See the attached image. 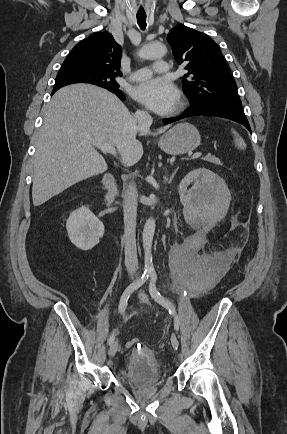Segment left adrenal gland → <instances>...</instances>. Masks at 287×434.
<instances>
[{
  "label": "left adrenal gland",
  "instance_id": "a2214340",
  "mask_svg": "<svg viewBox=\"0 0 287 434\" xmlns=\"http://www.w3.org/2000/svg\"><path fill=\"white\" fill-rule=\"evenodd\" d=\"M177 170H178V168H177V169H175V171H174V172L172 173V175L170 176V178H169V179L165 177V180H167V181H168V184H170V183L172 182V180H173V178H174V176H175V174H176Z\"/></svg>",
  "mask_w": 287,
  "mask_h": 434
}]
</instances>
